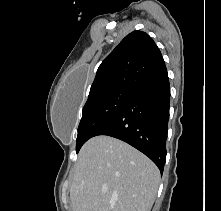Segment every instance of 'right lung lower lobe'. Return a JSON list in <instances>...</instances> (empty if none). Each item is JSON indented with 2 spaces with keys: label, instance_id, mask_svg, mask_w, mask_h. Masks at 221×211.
Masks as SVG:
<instances>
[{
  "label": "right lung lower lobe",
  "instance_id": "right-lung-lower-lobe-1",
  "mask_svg": "<svg viewBox=\"0 0 221 211\" xmlns=\"http://www.w3.org/2000/svg\"><path fill=\"white\" fill-rule=\"evenodd\" d=\"M170 107L168 74L133 88L122 108L95 134L118 138L148 156L162 173Z\"/></svg>",
  "mask_w": 221,
  "mask_h": 211
}]
</instances>
